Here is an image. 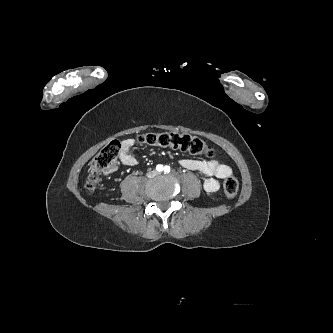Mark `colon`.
<instances>
[{
	"mask_svg": "<svg viewBox=\"0 0 333 333\" xmlns=\"http://www.w3.org/2000/svg\"><path fill=\"white\" fill-rule=\"evenodd\" d=\"M138 140L142 144L179 149L193 155H201L208 158L214 155L213 149L203 140L189 134L154 132L141 135ZM120 149V142L112 141L93 158L90 163V175L86 182L87 190L92 191L95 189L99 174L111 172L116 169ZM223 189L228 199H233L237 195L239 184L232 174L225 178Z\"/></svg>",
	"mask_w": 333,
	"mask_h": 333,
	"instance_id": "obj_1",
	"label": "colon"
}]
</instances>
